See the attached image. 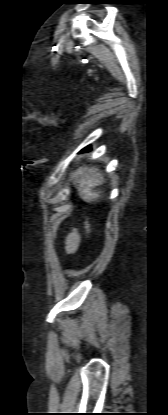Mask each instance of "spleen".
<instances>
[{"instance_id":"spleen-1","label":"spleen","mask_w":168,"mask_h":415,"mask_svg":"<svg viewBox=\"0 0 168 415\" xmlns=\"http://www.w3.org/2000/svg\"><path fill=\"white\" fill-rule=\"evenodd\" d=\"M98 169H78L74 174L76 188L79 196L86 202H91L99 197V193L94 192L95 186L102 184L103 178L97 172Z\"/></svg>"}]
</instances>
